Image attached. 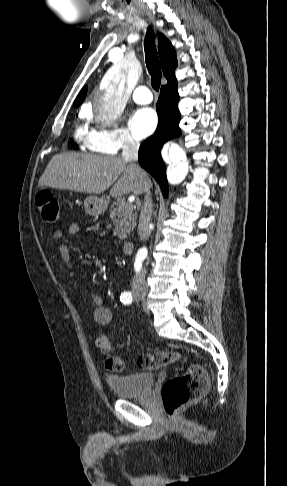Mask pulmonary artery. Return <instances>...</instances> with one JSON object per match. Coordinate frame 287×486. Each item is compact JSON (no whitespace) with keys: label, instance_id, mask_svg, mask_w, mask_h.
Returning <instances> with one entry per match:
<instances>
[{"label":"pulmonary artery","instance_id":"1","mask_svg":"<svg viewBox=\"0 0 287 486\" xmlns=\"http://www.w3.org/2000/svg\"><path fill=\"white\" fill-rule=\"evenodd\" d=\"M132 98L138 104H148L152 101V94L146 86H139L133 91Z\"/></svg>","mask_w":287,"mask_h":486}]
</instances>
